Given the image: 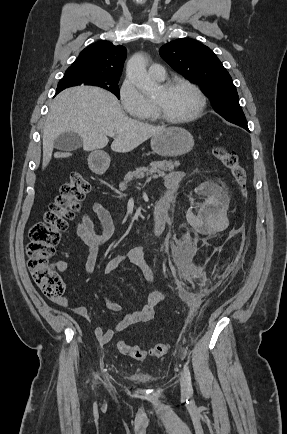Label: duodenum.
<instances>
[{
	"label": "duodenum",
	"instance_id": "410a0bca",
	"mask_svg": "<svg viewBox=\"0 0 287 434\" xmlns=\"http://www.w3.org/2000/svg\"><path fill=\"white\" fill-rule=\"evenodd\" d=\"M109 161L107 158L102 156H95L92 158V164L96 170L100 171L108 165ZM163 219V204L159 203L157 208L153 212V221L150 228L142 233V238H148L150 235L155 234L157 231V225Z\"/></svg>",
	"mask_w": 287,
	"mask_h": 434
}]
</instances>
